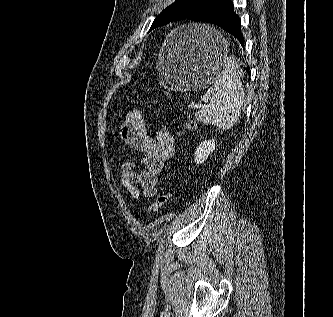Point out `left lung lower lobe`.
I'll return each instance as SVG.
<instances>
[{
    "label": "left lung lower lobe",
    "mask_w": 333,
    "mask_h": 317,
    "mask_svg": "<svg viewBox=\"0 0 333 317\" xmlns=\"http://www.w3.org/2000/svg\"><path fill=\"white\" fill-rule=\"evenodd\" d=\"M183 19L218 25L232 34L244 46L241 20L234 12V4L231 0H213L207 5L188 12Z\"/></svg>",
    "instance_id": "0a47b994"
}]
</instances>
